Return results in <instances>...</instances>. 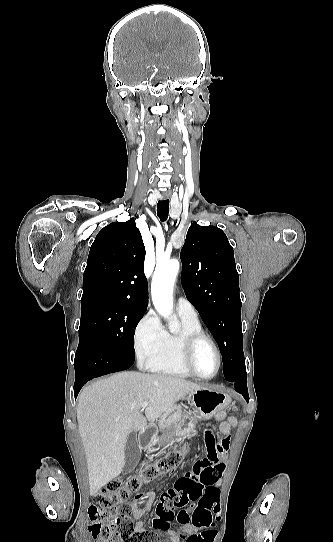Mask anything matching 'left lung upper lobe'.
Listing matches in <instances>:
<instances>
[{"label": "left lung upper lobe", "instance_id": "left-lung-upper-lobe-1", "mask_svg": "<svg viewBox=\"0 0 333 542\" xmlns=\"http://www.w3.org/2000/svg\"><path fill=\"white\" fill-rule=\"evenodd\" d=\"M180 258L183 289L218 343L224 376L246 370L239 276L227 236L217 227L194 222Z\"/></svg>", "mask_w": 333, "mask_h": 542}]
</instances>
